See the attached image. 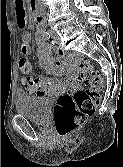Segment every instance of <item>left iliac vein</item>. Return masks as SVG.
I'll list each match as a JSON object with an SVG mask.
<instances>
[{"instance_id": "4c4485c4", "label": "left iliac vein", "mask_w": 123, "mask_h": 167, "mask_svg": "<svg viewBox=\"0 0 123 167\" xmlns=\"http://www.w3.org/2000/svg\"><path fill=\"white\" fill-rule=\"evenodd\" d=\"M50 34L52 36L53 42L57 43L59 41V36L54 30H50Z\"/></svg>"}]
</instances>
